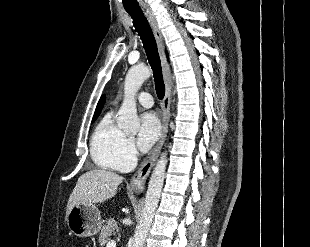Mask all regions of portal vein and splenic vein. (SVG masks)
<instances>
[{
  "mask_svg": "<svg viewBox=\"0 0 310 247\" xmlns=\"http://www.w3.org/2000/svg\"><path fill=\"white\" fill-rule=\"evenodd\" d=\"M106 247H116V242L111 240L107 243Z\"/></svg>",
  "mask_w": 310,
  "mask_h": 247,
  "instance_id": "18ae733b",
  "label": "portal vein and splenic vein"
}]
</instances>
